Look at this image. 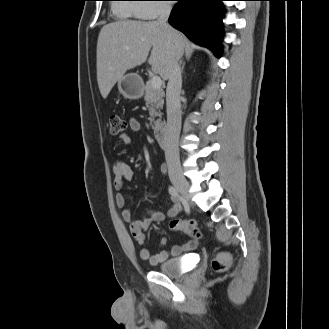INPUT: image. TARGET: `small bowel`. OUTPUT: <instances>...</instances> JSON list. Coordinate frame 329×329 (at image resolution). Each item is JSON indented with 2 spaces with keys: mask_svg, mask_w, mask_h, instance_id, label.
I'll return each mask as SVG.
<instances>
[{
  "mask_svg": "<svg viewBox=\"0 0 329 329\" xmlns=\"http://www.w3.org/2000/svg\"><path fill=\"white\" fill-rule=\"evenodd\" d=\"M130 128L133 130H140L141 124L134 120H130ZM119 141L123 144H130L132 141L131 135L128 132L121 133L118 137ZM161 173L165 174L167 172V166L162 164L160 166ZM113 173V185L117 191L115 201L118 207L121 208L122 219L129 224L130 234L139 246V256L141 259L149 262L152 265H156L161 261L177 256L183 252L193 250L196 247L195 242H189L184 245H175L170 250L163 249L166 244V239L162 238L160 241L161 249L152 254L147 248L144 247L146 231L154 222H161L168 218L176 217L182 210V205L177 197H171V207L167 210L166 214L153 209H147L140 220L132 219L131 210L126 207V196L123 194L122 189L124 183L129 181L134 176L133 169L123 161H117L112 167Z\"/></svg>",
  "mask_w": 329,
  "mask_h": 329,
  "instance_id": "c3829d8e",
  "label": "small bowel"
}]
</instances>
